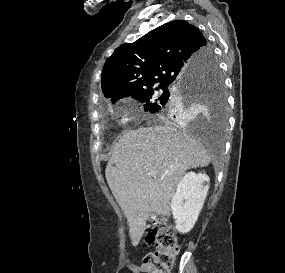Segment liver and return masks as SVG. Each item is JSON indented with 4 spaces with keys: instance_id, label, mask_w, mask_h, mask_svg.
I'll use <instances>...</instances> for the list:
<instances>
[{
    "instance_id": "obj_1",
    "label": "liver",
    "mask_w": 285,
    "mask_h": 273,
    "mask_svg": "<svg viewBox=\"0 0 285 273\" xmlns=\"http://www.w3.org/2000/svg\"><path fill=\"white\" fill-rule=\"evenodd\" d=\"M210 161V154L198 140L167 122L119 137L105 176L127 218L134 246L151 213H170V200L185 172L208 166ZM152 172L154 176L149 174Z\"/></svg>"
}]
</instances>
